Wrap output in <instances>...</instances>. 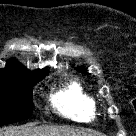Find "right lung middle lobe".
<instances>
[{"label":"right lung middle lobe","mask_w":136,"mask_h":136,"mask_svg":"<svg viewBox=\"0 0 136 136\" xmlns=\"http://www.w3.org/2000/svg\"><path fill=\"white\" fill-rule=\"evenodd\" d=\"M0 80V126L29 118L32 114V87L45 75Z\"/></svg>","instance_id":"right-lung-middle-lobe-1"}]
</instances>
